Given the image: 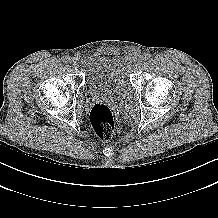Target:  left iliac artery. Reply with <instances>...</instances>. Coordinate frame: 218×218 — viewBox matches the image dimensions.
I'll use <instances>...</instances> for the list:
<instances>
[{"instance_id": "left-iliac-artery-1", "label": "left iliac artery", "mask_w": 218, "mask_h": 218, "mask_svg": "<svg viewBox=\"0 0 218 218\" xmlns=\"http://www.w3.org/2000/svg\"><path fill=\"white\" fill-rule=\"evenodd\" d=\"M143 58H144L145 60H149V59L151 58V54H149V53H144V54H143Z\"/></svg>"}]
</instances>
